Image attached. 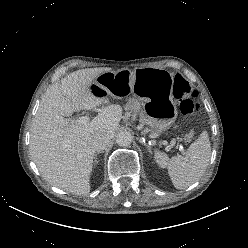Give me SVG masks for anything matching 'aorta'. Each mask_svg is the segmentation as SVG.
<instances>
[{
	"label": "aorta",
	"instance_id": "1",
	"mask_svg": "<svg viewBox=\"0 0 248 248\" xmlns=\"http://www.w3.org/2000/svg\"><path fill=\"white\" fill-rule=\"evenodd\" d=\"M132 140H133V136L129 131L120 130L116 134V143L119 146L127 147L132 143Z\"/></svg>",
	"mask_w": 248,
	"mask_h": 248
}]
</instances>
